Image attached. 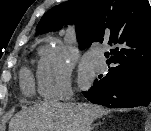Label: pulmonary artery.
<instances>
[{"instance_id":"pulmonary-artery-1","label":"pulmonary artery","mask_w":151,"mask_h":131,"mask_svg":"<svg viewBox=\"0 0 151 131\" xmlns=\"http://www.w3.org/2000/svg\"><path fill=\"white\" fill-rule=\"evenodd\" d=\"M92 56L94 58L95 64L98 69H104L105 68V60L103 57V54L100 51L94 50L92 52Z\"/></svg>"}]
</instances>
